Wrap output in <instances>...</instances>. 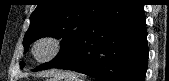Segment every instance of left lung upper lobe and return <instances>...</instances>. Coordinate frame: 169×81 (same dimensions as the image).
<instances>
[{
  "instance_id": "5c2ea615",
  "label": "left lung upper lobe",
  "mask_w": 169,
  "mask_h": 81,
  "mask_svg": "<svg viewBox=\"0 0 169 81\" xmlns=\"http://www.w3.org/2000/svg\"><path fill=\"white\" fill-rule=\"evenodd\" d=\"M112 0H40L30 17V26L23 39L24 50L36 39L45 36L62 38L57 57L35 69L54 68L67 61L87 26ZM24 67V62L20 63Z\"/></svg>"
}]
</instances>
